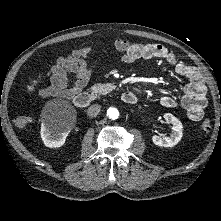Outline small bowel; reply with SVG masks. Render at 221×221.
<instances>
[{"instance_id":"c3829d8e","label":"small bowel","mask_w":221,"mask_h":221,"mask_svg":"<svg viewBox=\"0 0 221 221\" xmlns=\"http://www.w3.org/2000/svg\"><path fill=\"white\" fill-rule=\"evenodd\" d=\"M111 48L121 53V61L124 63L151 58L165 60L177 74L188 79L181 99V106L188 118L192 121L202 119L208 103L207 86L196 67L185 64L160 44L131 43L127 40L116 39L112 42ZM92 49L93 45H85L74 49L67 56L57 58L55 64L46 73L50 85L40 88L37 95L41 98L63 97L70 99L80 93L87 85L93 72L89 64ZM41 78L42 75L39 76V79ZM160 104L165 108H174L177 106V100L172 96L165 95L160 98Z\"/></svg>"}]
</instances>
